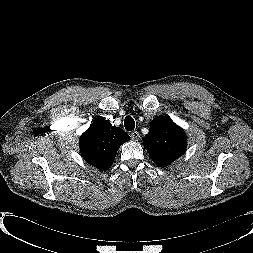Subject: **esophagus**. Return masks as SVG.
Listing matches in <instances>:
<instances>
[{"label":"esophagus","mask_w":253,"mask_h":253,"mask_svg":"<svg viewBox=\"0 0 253 253\" xmlns=\"http://www.w3.org/2000/svg\"><path fill=\"white\" fill-rule=\"evenodd\" d=\"M139 132L134 130L131 132V138L134 140V141H138L139 140Z\"/></svg>","instance_id":"obj_1"}]
</instances>
